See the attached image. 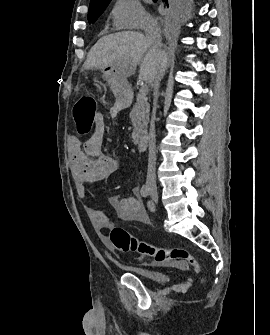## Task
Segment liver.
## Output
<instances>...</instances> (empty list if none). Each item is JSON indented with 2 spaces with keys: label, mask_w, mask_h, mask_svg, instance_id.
<instances>
[{
  "label": "liver",
  "mask_w": 270,
  "mask_h": 335,
  "mask_svg": "<svg viewBox=\"0 0 270 335\" xmlns=\"http://www.w3.org/2000/svg\"><path fill=\"white\" fill-rule=\"evenodd\" d=\"M137 64H140L141 80L151 82L161 66L167 64V54L160 46L155 48L140 32H117L96 42L83 64V70L112 66L116 70V78L127 82L128 76L135 74Z\"/></svg>",
  "instance_id": "liver-1"
}]
</instances>
